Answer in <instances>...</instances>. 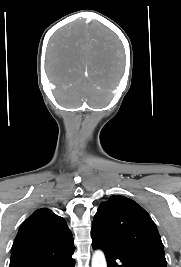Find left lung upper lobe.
<instances>
[{
	"instance_id": "1",
	"label": "left lung upper lobe",
	"mask_w": 181,
	"mask_h": 267,
	"mask_svg": "<svg viewBox=\"0 0 181 267\" xmlns=\"http://www.w3.org/2000/svg\"><path fill=\"white\" fill-rule=\"evenodd\" d=\"M92 238L118 245L127 252L166 267L161 237L149 214L135 201L111 196L103 202L92 224Z\"/></svg>"
}]
</instances>
